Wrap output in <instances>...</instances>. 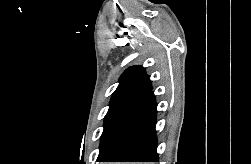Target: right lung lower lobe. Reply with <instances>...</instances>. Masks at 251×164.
Segmentation results:
<instances>
[{
  "label": "right lung lower lobe",
  "mask_w": 251,
  "mask_h": 164,
  "mask_svg": "<svg viewBox=\"0 0 251 164\" xmlns=\"http://www.w3.org/2000/svg\"><path fill=\"white\" fill-rule=\"evenodd\" d=\"M156 115L157 104L150 89L115 122L100 145L98 162H158Z\"/></svg>",
  "instance_id": "obj_1"
}]
</instances>
